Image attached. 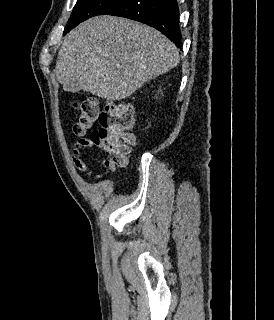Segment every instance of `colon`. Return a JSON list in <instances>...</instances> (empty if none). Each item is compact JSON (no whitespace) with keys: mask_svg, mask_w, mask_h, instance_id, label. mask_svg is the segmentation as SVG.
Masks as SVG:
<instances>
[{"mask_svg":"<svg viewBox=\"0 0 274 320\" xmlns=\"http://www.w3.org/2000/svg\"><path fill=\"white\" fill-rule=\"evenodd\" d=\"M76 118L73 125V134H83L94 123L96 127L89 138L92 144L99 149H105L109 158L104 160V167L112 170L115 166H124L127 157L135 144V136L132 133L134 127V109L119 102H108L101 107L95 98L83 101H75Z\"/></svg>","mask_w":274,"mask_h":320,"instance_id":"1","label":"colon"}]
</instances>
